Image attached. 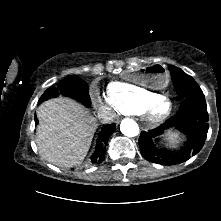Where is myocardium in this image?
<instances>
[{"instance_id": "1", "label": "myocardium", "mask_w": 221, "mask_h": 221, "mask_svg": "<svg viewBox=\"0 0 221 221\" xmlns=\"http://www.w3.org/2000/svg\"><path fill=\"white\" fill-rule=\"evenodd\" d=\"M162 101H167L169 103V109L163 113L158 114L156 108L158 104ZM174 104L173 101L167 95H157L151 101H149L143 108V111L147 119L151 122H161L167 119L173 112Z\"/></svg>"}]
</instances>
